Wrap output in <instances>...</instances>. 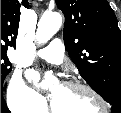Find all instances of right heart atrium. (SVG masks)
I'll use <instances>...</instances> for the list:
<instances>
[{
	"label": "right heart atrium",
	"instance_id": "d8ad5b80",
	"mask_svg": "<svg viewBox=\"0 0 121 113\" xmlns=\"http://www.w3.org/2000/svg\"><path fill=\"white\" fill-rule=\"evenodd\" d=\"M7 103L17 113H41L45 100L24 81L20 72H15L7 90Z\"/></svg>",
	"mask_w": 121,
	"mask_h": 113
}]
</instances>
